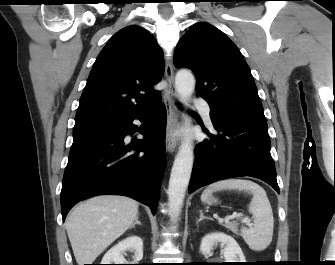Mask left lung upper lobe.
<instances>
[{
  "instance_id": "obj_1",
  "label": "left lung upper lobe",
  "mask_w": 335,
  "mask_h": 265,
  "mask_svg": "<svg viewBox=\"0 0 335 265\" xmlns=\"http://www.w3.org/2000/svg\"><path fill=\"white\" fill-rule=\"evenodd\" d=\"M177 68L196 76V92L211 110L268 133L251 71L237 46L214 26L198 22L179 41Z\"/></svg>"
}]
</instances>
